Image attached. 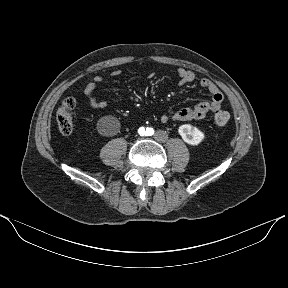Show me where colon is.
<instances>
[{
    "mask_svg": "<svg viewBox=\"0 0 288 288\" xmlns=\"http://www.w3.org/2000/svg\"><path fill=\"white\" fill-rule=\"evenodd\" d=\"M74 109V99L66 98L57 110L56 121L58 129L64 135L70 134L74 129ZM229 118L228 112L223 110H218L214 114V122L218 126L226 125Z\"/></svg>",
    "mask_w": 288,
    "mask_h": 288,
    "instance_id": "colon-1",
    "label": "colon"
}]
</instances>
